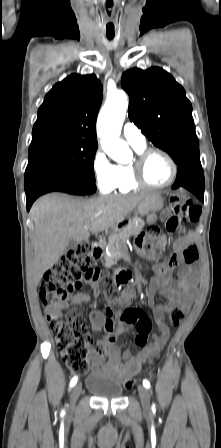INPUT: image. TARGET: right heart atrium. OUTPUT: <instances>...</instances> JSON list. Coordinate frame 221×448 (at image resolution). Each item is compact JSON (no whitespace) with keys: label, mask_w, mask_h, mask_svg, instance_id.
<instances>
[{"label":"right heart atrium","mask_w":221,"mask_h":448,"mask_svg":"<svg viewBox=\"0 0 221 448\" xmlns=\"http://www.w3.org/2000/svg\"><path fill=\"white\" fill-rule=\"evenodd\" d=\"M92 169L98 189L104 193L111 192L117 183L118 166L102 150H98L93 158Z\"/></svg>","instance_id":"obj_1"}]
</instances>
